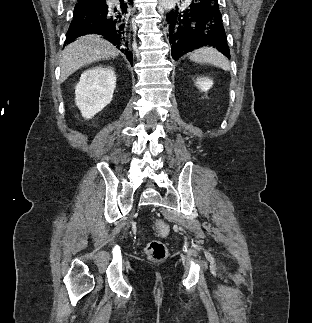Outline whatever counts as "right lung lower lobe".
<instances>
[{
	"label": "right lung lower lobe",
	"mask_w": 312,
	"mask_h": 323,
	"mask_svg": "<svg viewBox=\"0 0 312 323\" xmlns=\"http://www.w3.org/2000/svg\"><path fill=\"white\" fill-rule=\"evenodd\" d=\"M73 20L66 34L65 44L86 34L102 35L110 41L128 60L133 62V55L128 45V16L133 0H77Z\"/></svg>",
	"instance_id": "98d812e1"
}]
</instances>
